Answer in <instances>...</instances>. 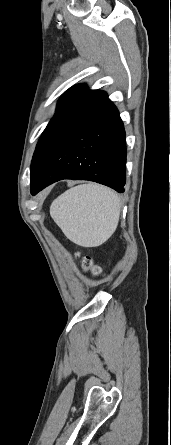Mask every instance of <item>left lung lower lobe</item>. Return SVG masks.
Listing matches in <instances>:
<instances>
[{"label":"left lung lower lobe","instance_id":"obj_1","mask_svg":"<svg viewBox=\"0 0 171 445\" xmlns=\"http://www.w3.org/2000/svg\"><path fill=\"white\" fill-rule=\"evenodd\" d=\"M125 131L117 108L104 99L61 138L31 179V194L62 180H90L124 192Z\"/></svg>","mask_w":171,"mask_h":445}]
</instances>
